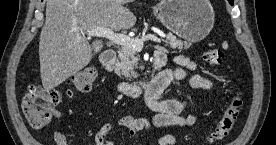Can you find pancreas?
Returning a JSON list of instances; mask_svg holds the SVG:
<instances>
[{
    "label": "pancreas",
    "instance_id": "pancreas-1",
    "mask_svg": "<svg viewBox=\"0 0 276 145\" xmlns=\"http://www.w3.org/2000/svg\"><path fill=\"white\" fill-rule=\"evenodd\" d=\"M166 46L171 49H187L190 44L177 39L171 33L167 34ZM118 61L115 65V71L118 75H123L127 80H132L138 77V73L135 71L138 68V56L136 50L129 47H122L118 52Z\"/></svg>",
    "mask_w": 276,
    "mask_h": 145
}]
</instances>
